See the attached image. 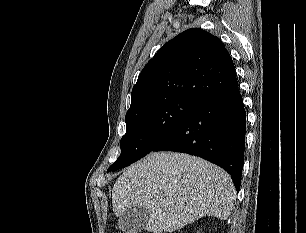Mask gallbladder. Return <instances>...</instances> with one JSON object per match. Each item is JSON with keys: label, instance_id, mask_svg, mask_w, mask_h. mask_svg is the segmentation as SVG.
Here are the masks:
<instances>
[{"label": "gallbladder", "instance_id": "bac80fb5", "mask_svg": "<svg viewBox=\"0 0 306 233\" xmlns=\"http://www.w3.org/2000/svg\"><path fill=\"white\" fill-rule=\"evenodd\" d=\"M149 212L137 206L128 208L118 220L119 228L124 233H139L148 221Z\"/></svg>", "mask_w": 306, "mask_h": 233}]
</instances>
